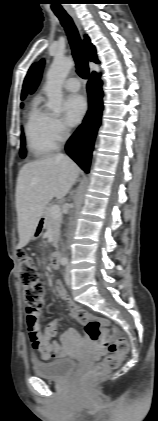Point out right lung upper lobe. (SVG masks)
I'll return each mask as SVG.
<instances>
[{
    "label": "right lung upper lobe",
    "mask_w": 158,
    "mask_h": 421,
    "mask_svg": "<svg viewBox=\"0 0 158 421\" xmlns=\"http://www.w3.org/2000/svg\"><path fill=\"white\" fill-rule=\"evenodd\" d=\"M84 47L87 51V57L90 61L95 62V63H99L97 56H96V50L95 47L91 44L90 39L88 36H85V39L83 41ZM37 63L33 64L31 66V68L28 71V74L25 77L24 83H23V89H22V95L21 98L24 99L26 94H27V90L30 84V81L32 79V76L34 74L35 68H36Z\"/></svg>",
    "instance_id": "1"
}]
</instances>
